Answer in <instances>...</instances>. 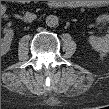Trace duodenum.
<instances>
[{"instance_id": "410a0bca", "label": "duodenum", "mask_w": 109, "mask_h": 109, "mask_svg": "<svg viewBox=\"0 0 109 109\" xmlns=\"http://www.w3.org/2000/svg\"><path fill=\"white\" fill-rule=\"evenodd\" d=\"M53 7H75V4H67V3H61V2H55Z\"/></svg>"}]
</instances>
